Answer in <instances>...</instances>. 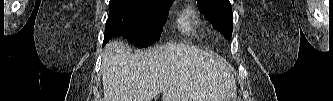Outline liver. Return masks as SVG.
I'll return each instance as SVG.
<instances>
[{
	"mask_svg": "<svg viewBox=\"0 0 333 101\" xmlns=\"http://www.w3.org/2000/svg\"><path fill=\"white\" fill-rule=\"evenodd\" d=\"M104 101H228L236 85L226 62L190 45L169 43L132 54L110 42L103 55Z\"/></svg>",
	"mask_w": 333,
	"mask_h": 101,
	"instance_id": "6515ba94",
	"label": "liver"
}]
</instances>
